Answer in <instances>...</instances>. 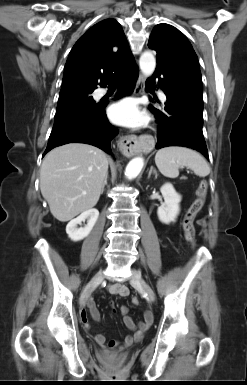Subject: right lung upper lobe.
Instances as JSON below:
<instances>
[{
    "label": "right lung upper lobe",
    "mask_w": 247,
    "mask_h": 385,
    "mask_svg": "<svg viewBox=\"0 0 247 385\" xmlns=\"http://www.w3.org/2000/svg\"><path fill=\"white\" fill-rule=\"evenodd\" d=\"M135 64L121 25L106 19L75 43L66 61L61 91L95 90Z\"/></svg>",
    "instance_id": "obj_1"
}]
</instances>
